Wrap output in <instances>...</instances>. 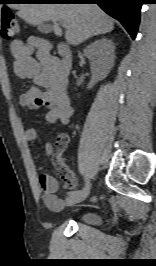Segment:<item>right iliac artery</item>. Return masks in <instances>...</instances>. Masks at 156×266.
Returning a JSON list of instances; mask_svg holds the SVG:
<instances>
[{
  "label": "right iliac artery",
  "mask_w": 156,
  "mask_h": 266,
  "mask_svg": "<svg viewBox=\"0 0 156 266\" xmlns=\"http://www.w3.org/2000/svg\"><path fill=\"white\" fill-rule=\"evenodd\" d=\"M89 185H90V182L86 181V182H84V188L82 190L71 191V192L68 193V195L69 196H71V195H78L81 192L86 191V189L89 188Z\"/></svg>",
  "instance_id": "1"
}]
</instances>
